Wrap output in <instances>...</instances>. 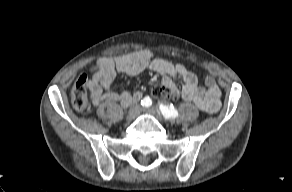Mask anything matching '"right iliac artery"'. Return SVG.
Returning <instances> with one entry per match:
<instances>
[{
    "mask_svg": "<svg viewBox=\"0 0 292 192\" xmlns=\"http://www.w3.org/2000/svg\"><path fill=\"white\" fill-rule=\"evenodd\" d=\"M141 105L144 106V107H149V106L152 105V100L149 97H144L141 100Z\"/></svg>",
    "mask_w": 292,
    "mask_h": 192,
    "instance_id": "1",
    "label": "right iliac artery"
}]
</instances>
